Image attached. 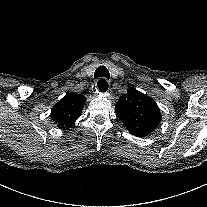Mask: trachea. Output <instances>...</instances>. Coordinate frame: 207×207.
Wrapping results in <instances>:
<instances>
[{"label":"trachea","mask_w":207,"mask_h":207,"mask_svg":"<svg viewBox=\"0 0 207 207\" xmlns=\"http://www.w3.org/2000/svg\"><path fill=\"white\" fill-rule=\"evenodd\" d=\"M109 71L107 70L106 67L104 66H100L96 69L95 73H94V77L98 78V77H106L107 79H109ZM97 87L99 88L100 92L104 93L108 90V83H102L100 80L97 83Z\"/></svg>","instance_id":"3493384b"}]
</instances>
